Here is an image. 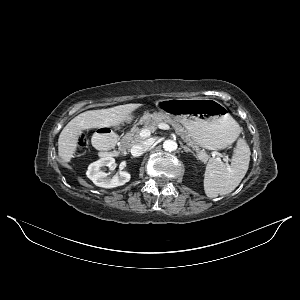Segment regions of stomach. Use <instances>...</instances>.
<instances>
[{
	"instance_id": "1",
	"label": "stomach",
	"mask_w": 300,
	"mask_h": 300,
	"mask_svg": "<svg viewBox=\"0 0 300 300\" xmlns=\"http://www.w3.org/2000/svg\"><path fill=\"white\" fill-rule=\"evenodd\" d=\"M160 112L146 113L176 116L191 138L201 147L221 150L231 145L240 132L237 122L227 108L212 99H168L157 103ZM131 120L128 115L126 121Z\"/></svg>"
}]
</instances>
